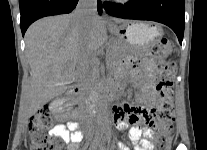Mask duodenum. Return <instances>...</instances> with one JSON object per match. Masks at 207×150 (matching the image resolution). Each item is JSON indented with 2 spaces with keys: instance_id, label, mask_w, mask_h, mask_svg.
Wrapping results in <instances>:
<instances>
[{
  "instance_id": "410a0bca",
  "label": "duodenum",
  "mask_w": 207,
  "mask_h": 150,
  "mask_svg": "<svg viewBox=\"0 0 207 150\" xmlns=\"http://www.w3.org/2000/svg\"><path fill=\"white\" fill-rule=\"evenodd\" d=\"M80 87L76 84L72 85L70 90L67 93L68 99H73L80 93ZM110 87L109 85H101L94 92L90 100V110L92 113L95 112L96 108L103 101H106L109 98ZM74 115L79 116L82 111L78 108L74 110Z\"/></svg>"
}]
</instances>
